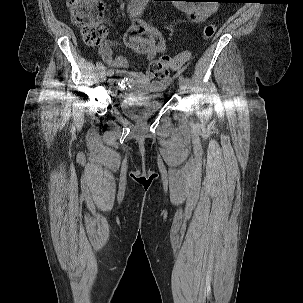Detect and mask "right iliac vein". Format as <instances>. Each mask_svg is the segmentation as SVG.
<instances>
[{
    "instance_id": "1",
    "label": "right iliac vein",
    "mask_w": 303,
    "mask_h": 303,
    "mask_svg": "<svg viewBox=\"0 0 303 303\" xmlns=\"http://www.w3.org/2000/svg\"><path fill=\"white\" fill-rule=\"evenodd\" d=\"M113 83H114V78H113V76H109V77H108V84L111 85V84H113Z\"/></svg>"
}]
</instances>
